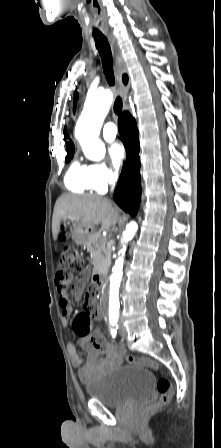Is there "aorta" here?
Masks as SVG:
<instances>
[{
  "label": "aorta",
  "mask_w": 221,
  "mask_h": 448,
  "mask_svg": "<svg viewBox=\"0 0 221 448\" xmlns=\"http://www.w3.org/2000/svg\"><path fill=\"white\" fill-rule=\"evenodd\" d=\"M113 94L110 90H103L89 95L85 101L83 111L76 123L75 136L79 141L85 156L93 161H101L106 153L105 145L99 140L98 135L112 104ZM137 230V224L131 222L127 225L122 235V256L118 258L113 267L110 284L105 290L109 298V313L119 312V288L123 274V255L126 245L133 238Z\"/></svg>",
  "instance_id": "obj_1"
}]
</instances>
